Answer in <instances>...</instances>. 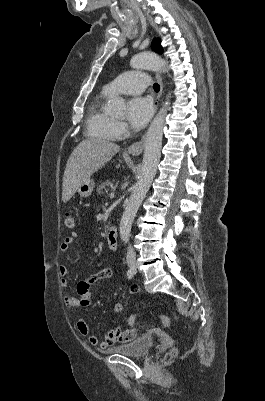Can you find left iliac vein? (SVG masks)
Here are the masks:
<instances>
[{
	"instance_id": "1",
	"label": "left iliac vein",
	"mask_w": 265,
	"mask_h": 401,
	"mask_svg": "<svg viewBox=\"0 0 265 401\" xmlns=\"http://www.w3.org/2000/svg\"><path fill=\"white\" fill-rule=\"evenodd\" d=\"M133 272L136 273V267L133 269Z\"/></svg>"
}]
</instances>
